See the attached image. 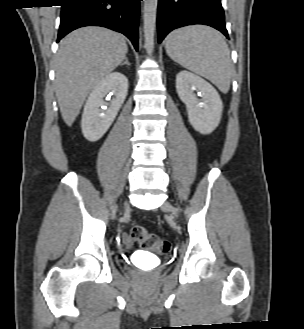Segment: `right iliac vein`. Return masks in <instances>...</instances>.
Returning a JSON list of instances; mask_svg holds the SVG:
<instances>
[{
  "instance_id": "right-iliac-vein-1",
  "label": "right iliac vein",
  "mask_w": 304,
  "mask_h": 329,
  "mask_svg": "<svg viewBox=\"0 0 304 329\" xmlns=\"http://www.w3.org/2000/svg\"><path fill=\"white\" fill-rule=\"evenodd\" d=\"M125 208H128V204L127 203L125 204Z\"/></svg>"
}]
</instances>
